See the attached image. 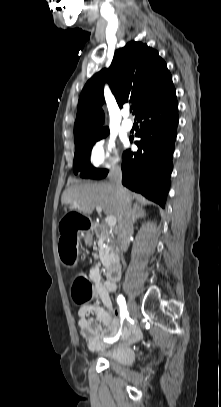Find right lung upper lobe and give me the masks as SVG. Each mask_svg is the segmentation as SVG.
<instances>
[{
    "label": "right lung upper lobe",
    "instance_id": "obj_1",
    "mask_svg": "<svg viewBox=\"0 0 221 407\" xmlns=\"http://www.w3.org/2000/svg\"><path fill=\"white\" fill-rule=\"evenodd\" d=\"M105 82L119 107L132 103L136 116L173 86L166 63L156 50L141 42L127 43L116 51L110 67L96 73L84 86L74 125L75 144L109 131L101 128Z\"/></svg>",
    "mask_w": 221,
    "mask_h": 407
}]
</instances>
